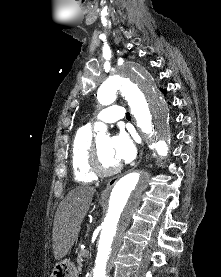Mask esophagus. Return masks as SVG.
Listing matches in <instances>:
<instances>
[{
  "mask_svg": "<svg viewBox=\"0 0 221 277\" xmlns=\"http://www.w3.org/2000/svg\"><path fill=\"white\" fill-rule=\"evenodd\" d=\"M142 155H143V149L141 150V153H140V159H141ZM117 180H118V177L117 178H112L108 181L106 188L104 190H102V192L100 193V198L101 199H105V198L108 197L112 187L115 185Z\"/></svg>",
  "mask_w": 221,
  "mask_h": 277,
  "instance_id": "esophagus-1",
  "label": "esophagus"
}]
</instances>
